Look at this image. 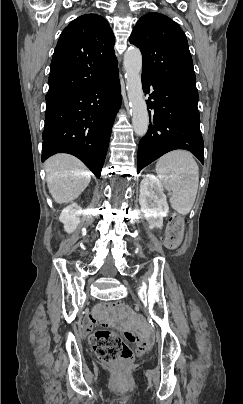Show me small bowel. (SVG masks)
<instances>
[{
	"label": "small bowel",
	"mask_w": 243,
	"mask_h": 404,
	"mask_svg": "<svg viewBox=\"0 0 243 404\" xmlns=\"http://www.w3.org/2000/svg\"><path fill=\"white\" fill-rule=\"evenodd\" d=\"M96 320H97V313H94L87 318L83 326L84 333H89L91 331L92 326L96 322Z\"/></svg>",
	"instance_id": "c3829d8e"
}]
</instances>
